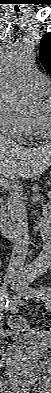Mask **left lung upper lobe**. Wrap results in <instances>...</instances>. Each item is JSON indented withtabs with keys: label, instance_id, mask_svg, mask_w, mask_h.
Listing matches in <instances>:
<instances>
[{
	"label": "left lung upper lobe",
	"instance_id": "1",
	"mask_svg": "<svg viewBox=\"0 0 51 393\" xmlns=\"http://www.w3.org/2000/svg\"><path fill=\"white\" fill-rule=\"evenodd\" d=\"M40 62L51 75V32L46 33L40 42Z\"/></svg>",
	"mask_w": 51,
	"mask_h": 393
}]
</instances>
